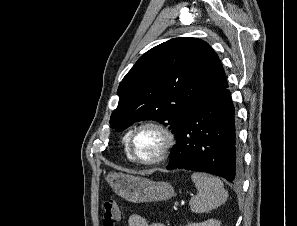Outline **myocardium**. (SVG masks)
<instances>
[{"instance_id":"obj_1","label":"myocardium","mask_w":297,"mask_h":226,"mask_svg":"<svg viewBox=\"0 0 297 226\" xmlns=\"http://www.w3.org/2000/svg\"><path fill=\"white\" fill-rule=\"evenodd\" d=\"M145 128H151L160 133L163 138V143L157 154L150 159H142L137 156L133 148V141L136 134ZM175 144V135L173 131L164 123L157 120H145L136 124L128 133L126 139V148L130 158L136 163L143 166H154L162 163L169 155Z\"/></svg>"}]
</instances>
